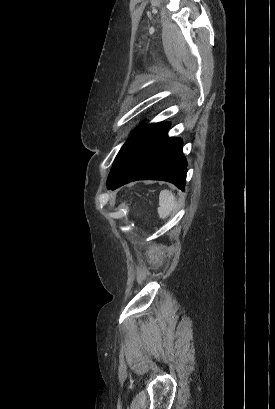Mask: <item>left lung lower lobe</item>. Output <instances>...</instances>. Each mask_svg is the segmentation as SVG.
<instances>
[{
	"mask_svg": "<svg viewBox=\"0 0 275 409\" xmlns=\"http://www.w3.org/2000/svg\"><path fill=\"white\" fill-rule=\"evenodd\" d=\"M168 129V123L154 124L132 147L122 171L108 188L151 179L169 181L184 190L187 161L182 141L168 137Z\"/></svg>",
	"mask_w": 275,
	"mask_h": 409,
	"instance_id": "1",
	"label": "left lung lower lobe"
}]
</instances>
